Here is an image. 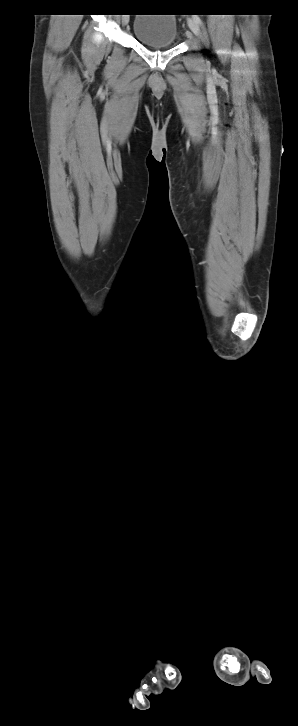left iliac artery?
Segmentation results:
<instances>
[{"label": "left iliac artery", "instance_id": "obj_1", "mask_svg": "<svg viewBox=\"0 0 298 726\" xmlns=\"http://www.w3.org/2000/svg\"><path fill=\"white\" fill-rule=\"evenodd\" d=\"M193 19H194V20H195V21H196V22H197L198 24H201V19L199 18V16H196V15H195V16H193Z\"/></svg>", "mask_w": 298, "mask_h": 726}]
</instances>
